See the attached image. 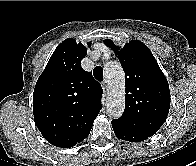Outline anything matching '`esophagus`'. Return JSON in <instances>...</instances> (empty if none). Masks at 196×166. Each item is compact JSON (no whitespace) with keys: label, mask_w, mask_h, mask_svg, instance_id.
<instances>
[{"label":"esophagus","mask_w":196,"mask_h":166,"mask_svg":"<svg viewBox=\"0 0 196 166\" xmlns=\"http://www.w3.org/2000/svg\"><path fill=\"white\" fill-rule=\"evenodd\" d=\"M102 88L104 91H106V87H107V82L106 81H103L102 84H101Z\"/></svg>","instance_id":"1"}]
</instances>
